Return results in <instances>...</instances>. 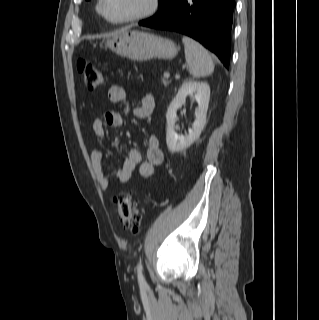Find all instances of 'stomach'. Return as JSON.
I'll list each match as a JSON object with an SVG mask.
<instances>
[{
    "mask_svg": "<svg viewBox=\"0 0 319 320\" xmlns=\"http://www.w3.org/2000/svg\"><path fill=\"white\" fill-rule=\"evenodd\" d=\"M106 47L134 61L153 58L170 60L178 53V48L172 40L138 30L119 32L107 40Z\"/></svg>",
    "mask_w": 319,
    "mask_h": 320,
    "instance_id": "1",
    "label": "stomach"
}]
</instances>
